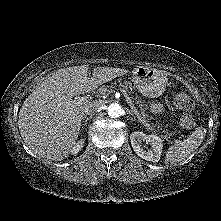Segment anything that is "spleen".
<instances>
[{
	"instance_id": "3e777b00",
	"label": "spleen",
	"mask_w": 221,
	"mask_h": 221,
	"mask_svg": "<svg viewBox=\"0 0 221 221\" xmlns=\"http://www.w3.org/2000/svg\"><path fill=\"white\" fill-rule=\"evenodd\" d=\"M206 134V129L202 127L196 130L182 141H176L170 146L165 157L166 164H173L185 160L197 149L203 141Z\"/></svg>"
}]
</instances>
